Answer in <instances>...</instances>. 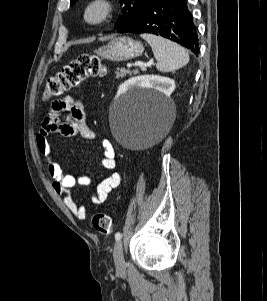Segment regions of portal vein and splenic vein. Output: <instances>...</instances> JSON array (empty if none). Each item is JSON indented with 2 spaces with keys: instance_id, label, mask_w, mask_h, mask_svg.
<instances>
[{
  "instance_id": "obj_1",
  "label": "portal vein and splenic vein",
  "mask_w": 267,
  "mask_h": 301,
  "mask_svg": "<svg viewBox=\"0 0 267 301\" xmlns=\"http://www.w3.org/2000/svg\"><path fill=\"white\" fill-rule=\"evenodd\" d=\"M152 63H153V60H150L149 63H147V64L140 62L136 65L139 66V67L145 68L146 66L151 65ZM132 65L133 64H127V67H132Z\"/></svg>"
}]
</instances>
